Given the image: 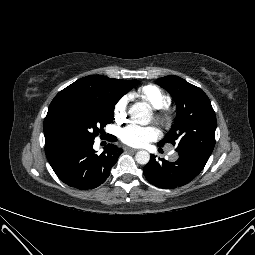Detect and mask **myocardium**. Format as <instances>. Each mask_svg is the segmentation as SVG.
<instances>
[{
	"label": "myocardium",
	"mask_w": 255,
	"mask_h": 255,
	"mask_svg": "<svg viewBox=\"0 0 255 255\" xmlns=\"http://www.w3.org/2000/svg\"><path fill=\"white\" fill-rule=\"evenodd\" d=\"M155 119L161 124L168 125L171 122L172 117L164 108H162L156 110Z\"/></svg>",
	"instance_id": "1"
}]
</instances>
